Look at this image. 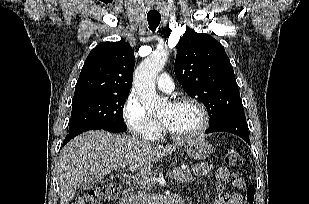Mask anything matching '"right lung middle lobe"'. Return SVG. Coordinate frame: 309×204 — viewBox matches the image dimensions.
Returning a JSON list of instances; mask_svg holds the SVG:
<instances>
[{
  "instance_id": "obj_1",
  "label": "right lung middle lobe",
  "mask_w": 309,
  "mask_h": 204,
  "mask_svg": "<svg viewBox=\"0 0 309 204\" xmlns=\"http://www.w3.org/2000/svg\"><path fill=\"white\" fill-rule=\"evenodd\" d=\"M127 97L128 94H112L72 103L69 133L83 128L126 131L123 107Z\"/></svg>"
}]
</instances>
